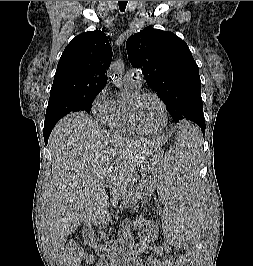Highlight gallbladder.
<instances>
[{
    "label": "gallbladder",
    "instance_id": "bac80fb5",
    "mask_svg": "<svg viewBox=\"0 0 253 266\" xmlns=\"http://www.w3.org/2000/svg\"><path fill=\"white\" fill-rule=\"evenodd\" d=\"M91 230L90 225H85L82 229V236L86 238V233Z\"/></svg>",
    "mask_w": 253,
    "mask_h": 266
}]
</instances>
